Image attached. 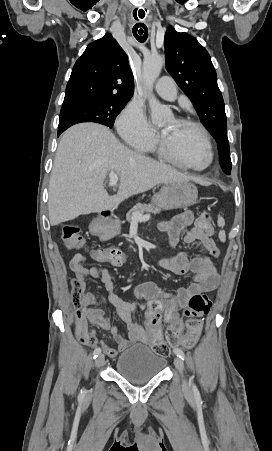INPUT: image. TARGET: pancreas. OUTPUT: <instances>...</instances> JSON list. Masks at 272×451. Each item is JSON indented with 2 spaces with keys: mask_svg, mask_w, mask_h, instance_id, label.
Listing matches in <instances>:
<instances>
[{
  "mask_svg": "<svg viewBox=\"0 0 272 451\" xmlns=\"http://www.w3.org/2000/svg\"><path fill=\"white\" fill-rule=\"evenodd\" d=\"M133 212H139V214H144V212H152V214H159L160 210L159 208H154L152 204H136L128 214H126V220L127 222H132V214ZM109 231H113V233H118L120 229L119 222H115V224H111V226H108Z\"/></svg>",
  "mask_w": 272,
  "mask_h": 451,
  "instance_id": "obj_1",
  "label": "pancreas"
}]
</instances>
